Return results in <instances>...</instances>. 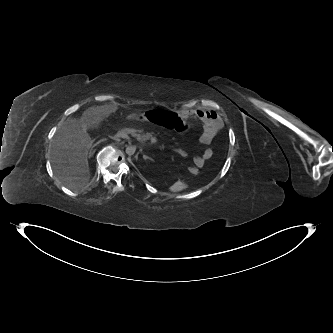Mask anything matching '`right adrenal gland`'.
Here are the masks:
<instances>
[{
  "instance_id": "right-adrenal-gland-1",
  "label": "right adrenal gland",
  "mask_w": 333,
  "mask_h": 333,
  "mask_svg": "<svg viewBox=\"0 0 333 333\" xmlns=\"http://www.w3.org/2000/svg\"><path fill=\"white\" fill-rule=\"evenodd\" d=\"M96 145H97V143L94 144V145L91 147V149H90V151H89V153H88V157H89V158L92 156V154H93V148H94Z\"/></svg>"
}]
</instances>
